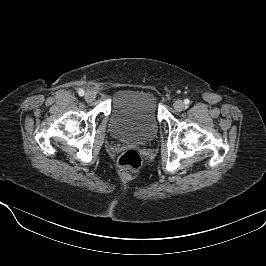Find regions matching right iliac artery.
<instances>
[{"label":"right iliac artery","mask_w":266,"mask_h":266,"mask_svg":"<svg viewBox=\"0 0 266 266\" xmlns=\"http://www.w3.org/2000/svg\"><path fill=\"white\" fill-rule=\"evenodd\" d=\"M84 93H85V92H84V90H82V89L78 91V94H79L80 96H83Z\"/></svg>","instance_id":"obj_1"}]
</instances>
